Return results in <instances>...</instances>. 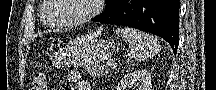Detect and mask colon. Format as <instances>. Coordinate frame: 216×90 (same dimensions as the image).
I'll list each match as a JSON object with an SVG mask.
<instances>
[{"instance_id":"1","label":"colon","mask_w":216,"mask_h":90,"mask_svg":"<svg viewBox=\"0 0 216 90\" xmlns=\"http://www.w3.org/2000/svg\"><path fill=\"white\" fill-rule=\"evenodd\" d=\"M31 90H47L46 78L44 73H36L31 83Z\"/></svg>"}]
</instances>
